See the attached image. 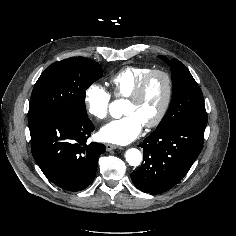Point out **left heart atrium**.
<instances>
[{
	"label": "left heart atrium",
	"instance_id": "obj_1",
	"mask_svg": "<svg viewBox=\"0 0 236 236\" xmlns=\"http://www.w3.org/2000/svg\"><path fill=\"white\" fill-rule=\"evenodd\" d=\"M143 126L144 123L139 116L131 113L103 126L99 131V137L105 142L125 145L139 136Z\"/></svg>",
	"mask_w": 236,
	"mask_h": 236
}]
</instances>
